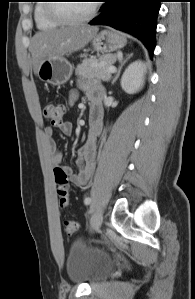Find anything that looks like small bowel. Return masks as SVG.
Masks as SVG:
<instances>
[{
  "instance_id": "obj_1",
  "label": "small bowel",
  "mask_w": 195,
  "mask_h": 299,
  "mask_svg": "<svg viewBox=\"0 0 195 299\" xmlns=\"http://www.w3.org/2000/svg\"><path fill=\"white\" fill-rule=\"evenodd\" d=\"M82 90L86 93L90 102V115L88 138L86 142L77 149L78 173H73L71 168L61 165L63 153L57 148L53 136V128L47 126L43 132L47 148L51 155L52 164L56 167H60L67 174L71 183L77 187L84 186L94 170L96 158L95 139L102 130L101 100L103 97V88L97 84H85L82 86ZM76 98L77 93L73 92L70 96V103L72 104ZM59 128L63 134L69 135L72 133L73 126L71 122L67 121L63 122Z\"/></svg>"
}]
</instances>
